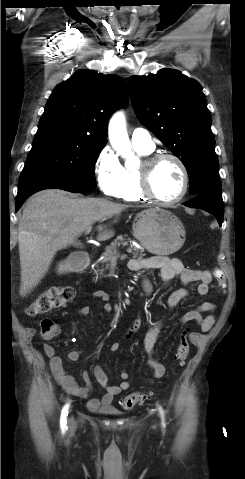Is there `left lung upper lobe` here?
<instances>
[{
    "instance_id": "5c2ea615",
    "label": "left lung upper lobe",
    "mask_w": 245,
    "mask_h": 479,
    "mask_svg": "<svg viewBox=\"0 0 245 479\" xmlns=\"http://www.w3.org/2000/svg\"><path fill=\"white\" fill-rule=\"evenodd\" d=\"M139 120L184 164L191 194L219 183L211 115L200 84L174 69L127 81Z\"/></svg>"
}]
</instances>
